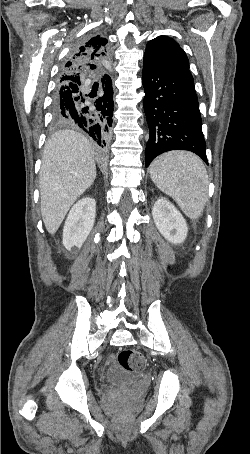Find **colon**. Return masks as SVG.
<instances>
[{"label": "colon", "instance_id": "obj_1", "mask_svg": "<svg viewBox=\"0 0 250 454\" xmlns=\"http://www.w3.org/2000/svg\"><path fill=\"white\" fill-rule=\"evenodd\" d=\"M118 363L124 370L134 373L141 372L146 366L142 353L132 349L122 350L118 354Z\"/></svg>", "mask_w": 250, "mask_h": 454}]
</instances>
